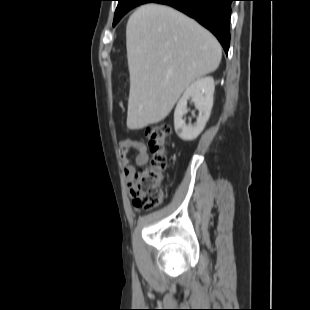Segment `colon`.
Instances as JSON below:
<instances>
[{
  "label": "colon",
  "instance_id": "5ec220e1",
  "mask_svg": "<svg viewBox=\"0 0 310 310\" xmlns=\"http://www.w3.org/2000/svg\"><path fill=\"white\" fill-rule=\"evenodd\" d=\"M171 133L166 124L151 126L146 131L147 144L152 154L148 164L139 168L130 181L133 204L145 210L158 207L164 197L162 182L167 168L165 144Z\"/></svg>",
  "mask_w": 310,
  "mask_h": 310
}]
</instances>
